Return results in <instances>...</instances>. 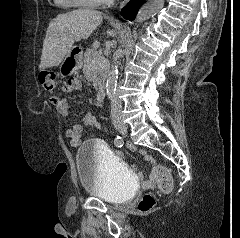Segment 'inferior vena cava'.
Here are the masks:
<instances>
[{
    "label": "inferior vena cava",
    "instance_id": "1",
    "mask_svg": "<svg viewBox=\"0 0 240 238\" xmlns=\"http://www.w3.org/2000/svg\"><path fill=\"white\" fill-rule=\"evenodd\" d=\"M111 100V118L114 122L121 120L123 117L122 103L117 94L110 99Z\"/></svg>",
    "mask_w": 240,
    "mask_h": 238
}]
</instances>
